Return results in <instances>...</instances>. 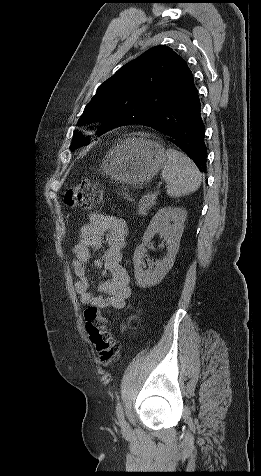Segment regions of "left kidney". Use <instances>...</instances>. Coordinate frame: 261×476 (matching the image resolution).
Segmentation results:
<instances>
[{
    "instance_id": "5707ae66",
    "label": "left kidney",
    "mask_w": 261,
    "mask_h": 476,
    "mask_svg": "<svg viewBox=\"0 0 261 476\" xmlns=\"http://www.w3.org/2000/svg\"><path fill=\"white\" fill-rule=\"evenodd\" d=\"M186 216L187 211L184 208L167 207L158 210L150 221L144 233L142 244L136 248L133 256L134 274L139 287L146 288L160 283L173 267ZM156 234H159L166 242L167 254L161 261H156L152 265L149 264V268L145 269L146 246Z\"/></svg>"
}]
</instances>
